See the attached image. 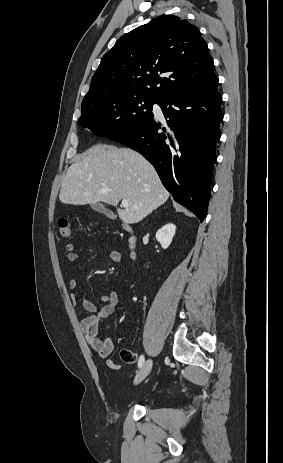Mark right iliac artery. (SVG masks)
<instances>
[{
	"label": "right iliac artery",
	"instance_id": "right-iliac-artery-1",
	"mask_svg": "<svg viewBox=\"0 0 283 463\" xmlns=\"http://www.w3.org/2000/svg\"><path fill=\"white\" fill-rule=\"evenodd\" d=\"M144 360H145L144 356L141 355V356L139 357V360H138V367H139V368H141V367L143 366Z\"/></svg>",
	"mask_w": 283,
	"mask_h": 463
}]
</instances>
